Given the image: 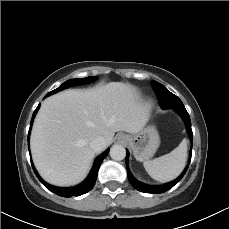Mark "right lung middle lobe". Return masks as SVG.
I'll return each instance as SVG.
<instances>
[{"mask_svg":"<svg viewBox=\"0 0 229 229\" xmlns=\"http://www.w3.org/2000/svg\"><path fill=\"white\" fill-rule=\"evenodd\" d=\"M94 79H95V77H86V78H83V79H72V80L66 81L59 88L49 92L47 95H52L54 93H57V92H59L61 90H64V89H66L68 87H71V86L82 85V84L89 83V82L93 81Z\"/></svg>","mask_w":229,"mask_h":229,"instance_id":"right-lung-middle-lobe-1","label":"right lung middle lobe"}]
</instances>
